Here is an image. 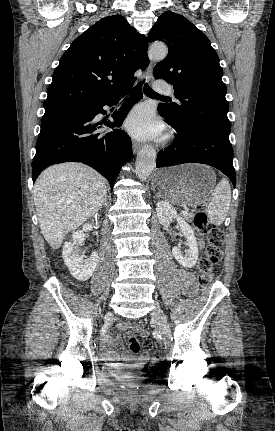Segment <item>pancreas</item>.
<instances>
[{
	"mask_svg": "<svg viewBox=\"0 0 275 431\" xmlns=\"http://www.w3.org/2000/svg\"><path fill=\"white\" fill-rule=\"evenodd\" d=\"M193 217H194V214L184 215L185 220L188 221V222H191L192 219H193Z\"/></svg>",
	"mask_w": 275,
	"mask_h": 431,
	"instance_id": "obj_1",
	"label": "pancreas"
}]
</instances>
